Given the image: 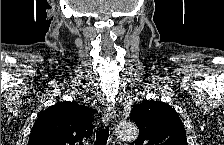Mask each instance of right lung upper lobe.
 <instances>
[{"label":"right lung upper lobe","mask_w":224,"mask_h":145,"mask_svg":"<svg viewBox=\"0 0 224 145\" xmlns=\"http://www.w3.org/2000/svg\"><path fill=\"white\" fill-rule=\"evenodd\" d=\"M95 112L74 101L58 102L38 116L28 145H82L93 131Z\"/></svg>","instance_id":"1"}]
</instances>
